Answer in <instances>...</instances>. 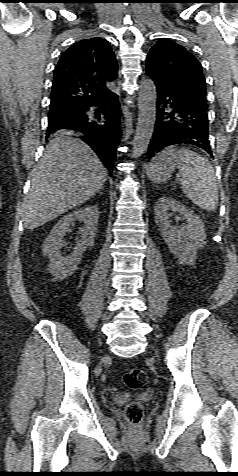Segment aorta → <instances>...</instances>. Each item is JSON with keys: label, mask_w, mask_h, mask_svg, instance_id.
Returning a JSON list of instances; mask_svg holds the SVG:
<instances>
[{"label": "aorta", "mask_w": 238, "mask_h": 476, "mask_svg": "<svg viewBox=\"0 0 238 476\" xmlns=\"http://www.w3.org/2000/svg\"><path fill=\"white\" fill-rule=\"evenodd\" d=\"M156 87L151 79L140 84L138 93V122L133 139L132 157L138 158L147 150L156 121Z\"/></svg>", "instance_id": "1"}]
</instances>
